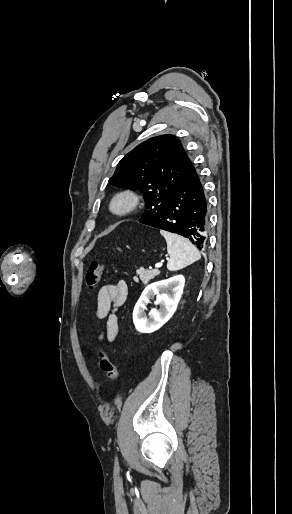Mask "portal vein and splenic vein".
I'll use <instances>...</instances> for the list:
<instances>
[{
  "instance_id": "1",
  "label": "portal vein and splenic vein",
  "mask_w": 292,
  "mask_h": 514,
  "mask_svg": "<svg viewBox=\"0 0 292 514\" xmlns=\"http://www.w3.org/2000/svg\"><path fill=\"white\" fill-rule=\"evenodd\" d=\"M161 266H163V264H155V268H161Z\"/></svg>"
}]
</instances>
